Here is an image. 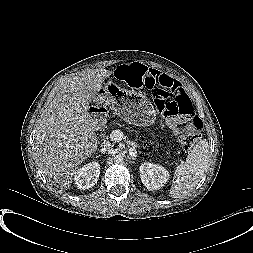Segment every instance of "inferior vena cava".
<instances>
[{"mask_svg": "<svg viewBox=\"0 0 253 253\" xmlns=\"http://www.w3.org/2000/svg\"><path fill=\"white\" fill-rule=\"evenodd\" d=\"M112 150H113V148L110 147L109 144L105 145V146L101 149L102 152H108V153L111 152Z\"/></svg>", "mask_w": 253, "mask_h": 253, "instance_id": "602c4592", "label": "inferior vena cava"}]
</instances>
